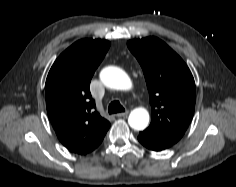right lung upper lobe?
Listing matches in <instances>:
<instances>
[{
  "instance_id": "right-lung-upper-lobe-1",
  "label": "right lung upper lobe",
  "mask_w": 236,
  "mask_h": 187,
  "mask_svg": "<svg viewBox=\"0 0 236 187\" xmlns=\"http://www.w3.org/2000/svg\"><path fill=\"white\" fill-rule=\"evenodd\" d=\"M110 47L107 40L82 39L54 62L46 79V108L60 142L86 155L102 142L110 123L95 111L90 81Z\"/></svg>"
}]
</instances>
